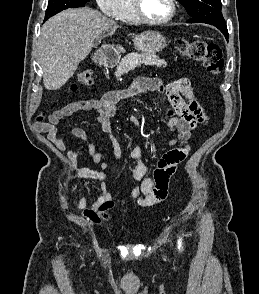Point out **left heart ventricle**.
<instances>
[{"instance_id":"1","label":"left heart ventricle","mask_w":259,"mask_h":294,"mask_svg":"<svg viewBox=\"0 0 259 294\" xmlns=\"http://www.w3.org/2000/svg\"><path fill=\"white\" fill-rule=\"evenodd\" d=\"M144 14L151 19H163L170 12L169 0H140Z\"/></svg>"}]
</instances>
